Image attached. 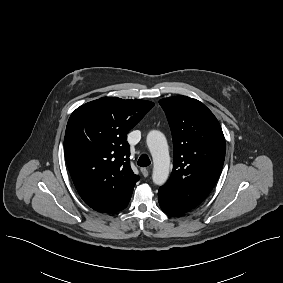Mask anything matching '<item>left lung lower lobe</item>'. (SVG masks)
Here are the masks:
<instances>
[{"instance_id":"1","label":"left lung lower lobe","mask_w":283,"mask_h":283,"mask_svg":"<svg viewBox=\"0 0 283 283\" xmlns=\"http://www.w3.org/2000/svg\"><path fill=\"white\" fill-rule=\"evenodd\" d=\"M158 201L160 204L161 209L173 216L183 215L187 211L180 208L175 201L173 200L172 196L164 189L160 187L158 191Z\"/></svg>"}]
</instances>
